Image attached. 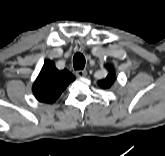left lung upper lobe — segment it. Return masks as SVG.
Instances as JSON below:
<instances>
[{
    "label": "left lung upper lobe",
    "mask_w": 165,
    "mask_h": 156,
    "mask_svg": "<svg viewBox=\"0 0 165 156\" xmlns=\"http://www.w3.org/2000/svg\"><path fill=\"white\" fill-rule=\"evenodd\" d=\"M114 81H115V73L112 69H110V73L108 74V76L104 80L99 81L98 84L102 88H110L113 85Z\"/></svg>",
    "instance_id": "5c2ea615"
}]
</instances>
